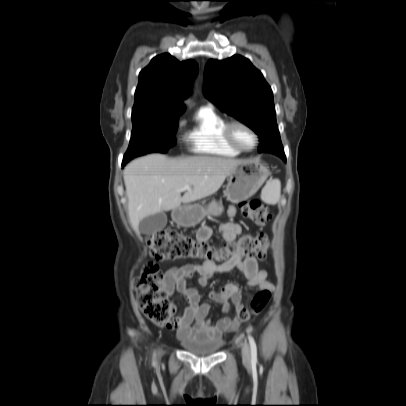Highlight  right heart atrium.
I'll return each mask as SVG.
<instances>
[{"label": "right heart atrium", "instance_id": "1", "mask_svg": "<svg viewBox=\"0 0 406 406\" xmlns=\"http://www.w3.org/2000/svg\"><path fill=\"white\" fill-rule=\"evenodd\" d=\"M180 126H182L183 125V122H180V124H179Z\"/></svg>", "mask_w": 406, "mask_h": 406}]
</instances>
